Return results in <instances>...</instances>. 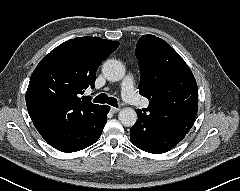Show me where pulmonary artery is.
<instances>
[{"label": "pulmonary artery", "instance_id": "e3ab8cb5", "mask_svg": "<svg viewBox=\"0 0 240 191\" xmlns=\"http://www.w3.org/2000/svg\"><path fill=\"white\" fill-rule=\"evenodd\" d=\"M121 94L124 100L135 106L147 107L149 102L140 98L135 92L134 79L128 74L121 84Z\"/></svg>", "mask_w": 240, "mask_h": 191}]
</instances>
